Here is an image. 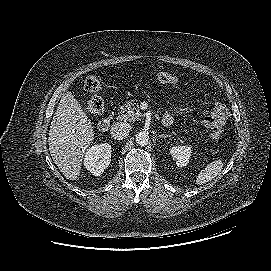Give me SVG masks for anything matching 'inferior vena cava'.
<instances>
[{"label": "inferior vena cava", "instance_id": "inferior-vena-cava-1", "mask_svg": "<svg viewBox=\"0 0 271 271\" xmlns=\"http://www.w3.org/2000/svg\"><path fill=\"white\" fill-rule=\"evenodd\" d=\"M130 126L127 123L117 122L111 127V134L117 140L126 138L129 134Z\"/></svg>", "mask_w": 271, "mask_h": 271}]
</instances>
